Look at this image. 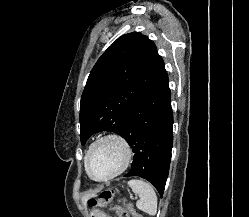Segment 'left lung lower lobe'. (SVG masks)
<instances>
[{
  "label": "left lung lower lobe",
  "instance_id": "obj_1",
  "mask_svg": "<svg viewBox=\"0 0 249 217\" xmlns=\"http://www.w3.org/2000/svg\"><path fill=\"white\" fill-rule=\"evenodd\" d=\"M171 92L164 69L129 112L123 138L134 152L130 171L151 182L162 196L168 177L173 144Z\"/></svg>",
  "mask_w": 249,
  "mask_h": 217
}]
</instances>
